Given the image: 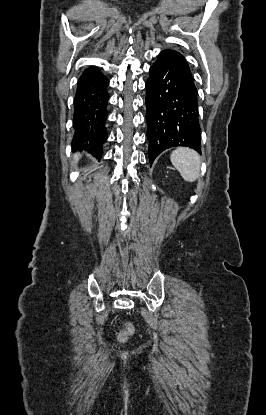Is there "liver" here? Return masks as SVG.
Segmentation results:
<instances>
[{
  "instance_id": "6515ba94",
  "label": "liver",
  "mask_w": 266,
  "mask_h": 415,
  "mask_svg": "<svg viewBox=\"0 0 266 415\" xmlns=\"http://www.w3.org/2000/svg\"><path fill=\"white\" fill-rule=\"evenodd\" d=\"M81 157V155L79 153L75 154L74 156V160L77 161L79 158Z\"/></svg>"
}]
</instances>
